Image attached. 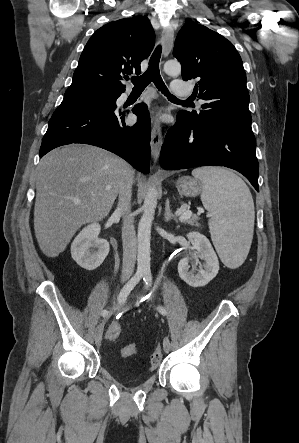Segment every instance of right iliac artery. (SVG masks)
<instances>
[{
  "label": "right iliac artery",
  "instance_id": "right-iliac-artery-1",
  "mask_svg": "<svg viewBox=\"0 0 299 443\" xmlns=\"http://www.w3.org/2000/svg\"><path fill=\"white\" fill-rule=\"evenodd\" d=\"M143 277V273L141 272H137L125 285L124 287L121 289L119 295H118V304L119 305H123L126 300L128 295L130 294V292L133 290V288L138 284V282L140 281V279ZM101 315L103 317H108L109 316V311L107 310H103L101 312Z\"/></svg>",
  "mask_w": 299,
  "mask_h": 443
}]
</instances>
